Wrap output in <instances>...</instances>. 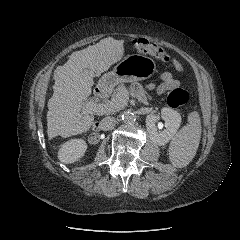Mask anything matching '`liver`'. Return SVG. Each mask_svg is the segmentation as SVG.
Returning <instances> with one entry per match:
<instances>
[{
    "label": "liver",
    "mask_w": 240,
    "mask_h": 240,
    "mask_svg": "<svg viewBox=\"0 0 240 240\" xmlns=\"http://www.w3.org/2000/svg\"><path fill=\"white\" fill-rule=\"evenodd\" d=\"M124 54V41L112 37L73 52L69 60L54 71L53 95L48 101L47 134L49 140L60 135L82 134L92 126L100 112L82 111L83 100L90 96L93 77L107 71Z\"/></svg>",
    "instance_id": "obj_1"
}]
</instances>
